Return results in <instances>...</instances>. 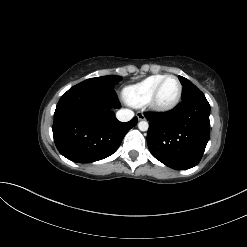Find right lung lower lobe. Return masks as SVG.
Returning a JSON list of instances; mask_svg holds the SVG:
<instances>
[{
  "instance_id": "obj_1",
  "label": "right lung lower lobe",
  "mask_w": 247,
  "mask_h": 247,
  "mask_svg": "<svg viewBox=\"0 0 247 247\" xmlns=\"http://www.w3.org/2000/svg\"><path fill=\"white\" fill-rule=\"evenodd\" d=\"M120 103L112 87L77 84L60 98L54 113L53 137L67 159L90 163L112 155L137 117L120 122L111 108Z\"/></svg>"
}]
</instances>
